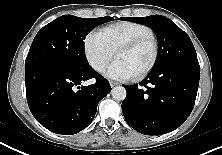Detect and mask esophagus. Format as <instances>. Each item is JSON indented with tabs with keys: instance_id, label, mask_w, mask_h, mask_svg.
Returning <instances> with one entry per match:
<instances>
[{
	"instance_id": "1",
	"label": "esophagus",
	"mask_w": 222,
	"mask_h": 155,
	"mask_svg": "<svg viewBox=\"0 0 222 155\" xmlns=\"http://www.w3.org/2000/svg\"><path fill=\"white\" fill-rule=\"evenodd\" d=\"M118 85V83L117 82H115V81H110V86L113 88V87H115V86H117Z\"/></svg>"
}]
</instances>
